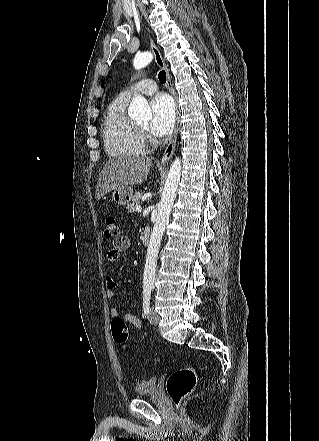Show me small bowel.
<instances>
[{
	"label": "small bowel",
	"mask_w": 319,
	"mask_h": 441,
	"mask_svg": "<svg viewBox=\"0 0 319 441\" xmlns=\"http://www.w3.org/2000/svg\"><path fill=\"white\" fill-rule=\"evenodd\" d=\"M130 246V240L128 237L122 236L117 241L114 242L113 248L107 252V259L109 262H116L121 253L128 250ZM106 283V295L108 298H113L115 296V288L117 286L116 280L112 276H107L105 279ZM110 315L112 318L118 317L119 311L116 307L110 309ZM123 319L131 324L137 331L142 329L141 321L133 314L124 315Z\"/></svg>",
	"instance_id": "obj_1"
}]
</instances>
